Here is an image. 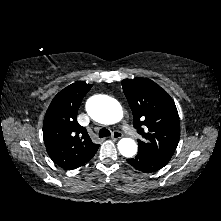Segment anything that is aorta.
Instances as JSON below:
<instances>
[{"label": "aorta", "instance_id": "762f6f07", "mask_svg": "<svg viewBox=\"0 0 221 221\" xmlns=\"http://www.w3.org/2000/svg\"><path fill=\"white\" fill-rule=\"evenodd\" d=\"M88 115L102 124H114L122 118L123 111L118 101L104 95L91 97L86 104ZM119 152L127 158L137 153V144L131 138H122L118 142Z\"/></svg>", "mask_w": 221, "mask_h": 221}]
</instances>
